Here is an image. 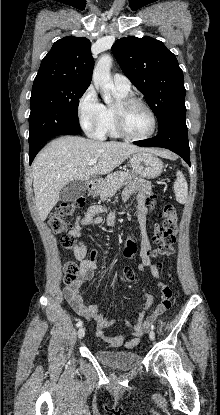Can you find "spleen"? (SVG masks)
Returning a JSON list of instances; mask_svg holds the SVG:
<instances>
[{
  "label": "spleen",
  "mask_w": 220,
  "mask_h": 415,
  "mask_svg": "<svg viewBox=\"0 0 220 415\" xmlns=\"http://www.w3.org/2000/svg\"><path fill=\"white\" fill-rule=\"evenodd\" d=\"M177 179L174 183V191L177 202L184 204L187 201L188 185L181 171H177Z\"/></svg>",
  "instance_id": "spleen-1"
}]
</instances>
